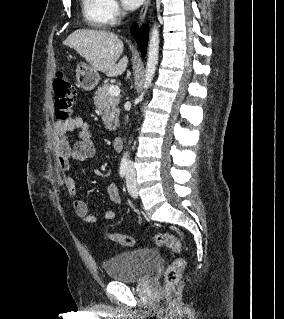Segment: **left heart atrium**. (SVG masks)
<instances>
[{
    "label": "left heart atrium",
    "mask_w": 284,
    "mask_h": 319,
    "mask_svg": "<svg viewBox=\"0 0 284 319\" xmlns=\"http://www.w3.org/2000/svg\"><path fill=\"white\" fill-rule=\"evenodd\" d=\"M144 0H121L122 5L128 10L137 9Z\"/></svg>",
    "instance_id": "39dd6f15"
}]
</instances>
